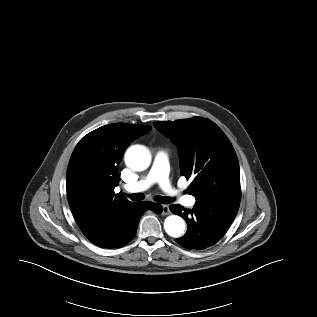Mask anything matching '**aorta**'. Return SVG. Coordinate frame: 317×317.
Returning <instances> with one entry per match:
<instances>
[{
    "label": "aorta",
    "instance_id": "1",
    "mask_svg": "<svg viewBox=\"0 0 317 317\" xmlns=\"http://www.w3.org/2000/svg\"><path fill=\"white\" fill-rule=\"evenodd\" d=\"M125 163L135 171H144L151 163V154L144 146H131L125 153ZM164 230L171 237H180L184 233L185 222L178 215H170L164 220Z\"/></svg>",
    "mask_w": 317,
    "mask_h": 317
}]
</instances>
